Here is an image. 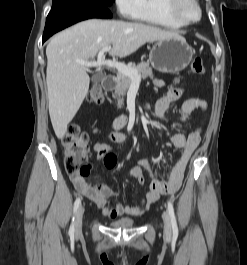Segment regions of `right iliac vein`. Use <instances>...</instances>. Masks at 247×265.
Returning a JSON list of instances; mask_svg holds the SVG:
<instances>
[{
  "mask_svg": "<svg viewBox=\"0 0 247 265\" xmlns=\"http://www.w3.org/2000/svg\"><path fill=\"white\" fill-rule=\"evenodd\" d=\"M84 214V207L80 206L76 213V220H75V232L76 235H79L82 230V219Z\"/></svg>",
  "mask_w": 247,
  "mask_h": 265,
  "instance_id": "right-iliac-vein-1",
  "label": "right iliac vein"
}]
</instances>
